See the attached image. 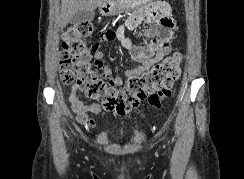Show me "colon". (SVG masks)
I'll return each instance as SVG.
<instances>
[{
	"mask_svg": "<svg viewBox=\"0 0 244 179\" xmlns=\"http://www.w3.org/2000/svg\"><path fill=\"white\" fill-rule=\"evenodd\" d=\"M93 29L91 23L84 22L81 26H69L63 33L60 61L62 81L80 88L87 97L102 102L107 111L117 115L132 111L144 114L161 108L171 96L172 87L181 74V54L175 52L150 70L129 76L122 88L115 89L100 76L85 42L91 37ZM143 93H150V98L146 106L140 109L137 102Z\"/></svg>",
	"mask_w": 244,
	"mask_h": 179,
	"instance_id": "colon-1",
	"label": "colon"
}]
</instances>
